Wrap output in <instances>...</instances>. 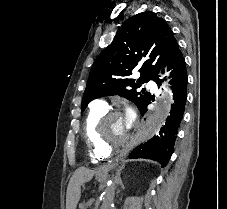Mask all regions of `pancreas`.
Listing matches in <instances>:
<instances>
[{
	"instance_id": "1",
	"label": "pancreas",
	"mask_w": 227,
	"mask_h": 209,
	"mask_svg": "<svg viewBox=\"0 0 227 209\" xmlns=\"http://www.w3.org/2000/svg\"><path fill=\"white\" fill-rule=\"evenodd\" d=\"M82 209H90V207L89 206H85Z\"/></svg>"
}]
</instances>
